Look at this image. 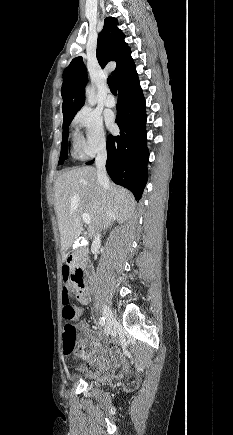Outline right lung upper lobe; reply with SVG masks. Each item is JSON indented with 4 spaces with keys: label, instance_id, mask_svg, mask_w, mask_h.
<instances>
[{
    "label": "right lung upper lobe",
    "instance_id": "1",
    "mask_svg": "<svg viewBox=\"0 0 233 435\" xmlns=\"http://www.w3.org/2000/svg\"><path fill=\"white\" fill-rule=\"evenodd\" d=\"M117 20L107 17L104 27L98 35L96 57L103 68L110 61L116 62L113 71L117 84L135 73V64L130 56V48L124 42L125 35L116 27ZM87 84V70L82 57L71 61L63 72L61 94L64 117L75 115L85 102L84 89Z\"/></svg>",
    "mask_w": 233,
    "mask_h": 435
}]
</instances>
